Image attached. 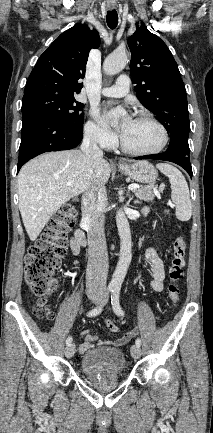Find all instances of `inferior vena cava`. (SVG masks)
<instances>
[{
  "mask_svg": "<svg viewBox=\"0 0 213 433\" xmlns=\"http://www.w3.org/2000/svg\"><path fill=\"white\" fill-rule=\"evenodd\" d=\"M81 151L87 156L102 158L103 151L97 145L96 137L85 133ZM107 193L104 185H92L82 196V221L87 226L88 267L87 292L102 293L106 290L108 253L104 233V210Z\"/></svg>",
  "mask_w": 213,
  "mask_h": 433,
  "instance_id": "1",
  "label": "inferior vena cava"
}]
</instances>
